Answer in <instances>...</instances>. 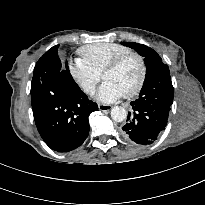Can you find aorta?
Listing matches in <instances>:
<instances>
[{
	"label": "aorta",
	"mask_w": 205,
	"mask_h": 205,
	"mask_svg": "<svg viewBox=\"0 0 205 205\" xmlns=\"http://www.w3.org/2000/svg\"><path fill=\"white\" fill-rule=\"evenodd\" d=\"M126 117L127 111L123 107L116 106L111 109V118L115 122H122L126 119Z\"/></svg>",
	"instance_id": "762f6f07"
}]
</instances>
